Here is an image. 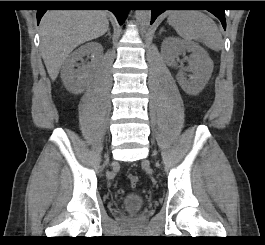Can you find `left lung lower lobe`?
Wrapping results in <instances>:
<instances>
[{
	"label": "left lung lower lobe",
	"instance_id": "1",
	"mask_svg": "<svg viewBox=\"0 0 265 245\" xmlns=\"http://www.w3.org/2000/svg\"><path fill=\"white\" fill-rule=\"evenodd\" d=\"M194 5V1H156L155 8L152 10L151 23L154 22L159 14L168 10L165 7H190ZM208 11L214 14L221 21L223 28L226 29L225 10L222 8H214Z\"/></svg>",
	"mask_w": 265,
	"mask_h": 245
}]
</instances>
